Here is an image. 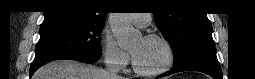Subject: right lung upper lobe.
I'll list each match as a JSON object with an SVG mask.
<instances>
[{
  "instance_id": "right-lung-upper-lobe-1",
  "label": "right lung upper lobe",
  "mask_w": 255,
  "mask_h": 79,
  "mask_svg": "<svg viewBox=\"0 0 255 79\" xmlns=\"http://www.w3.org/2000/svg\"><path fill=\"white\" fill-rule=\"evenodd\" d=\"M99 2V0H53L49 2L44 12V21L70 20L104 24L106 11Z\"/></svg>"
}]
</instances>
